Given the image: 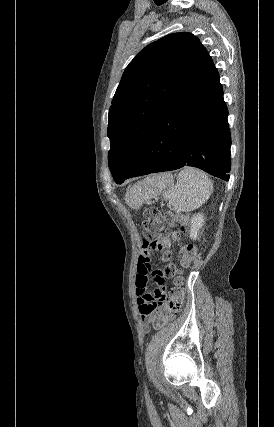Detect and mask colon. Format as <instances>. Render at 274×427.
<instances>
[{
  "instance_id": "1",
  "label": "colon",
  "mask_w": 274,
  "mask_h": 427,
  "mask_svg": "<svg viewBox=\"0 0 274 427\" xmlns=\"http://www.w3.org/2000/svg\"><path fill=\"white\" fill-rule=\"evenodd\" d=\"M164 221L172 225L175 221H179L177 216L167 214L162 217L161 212L157 208H148L144 213V220L142 222V236H158L159 240L167 241L168 248H171V243L178 240L177 233L170 232L165 226ZM197 247L194 242H187L180 250L178 261L180 262V274L170 290H168L169 299L165 306H160L157 311L151 312V321L153 329L156 332H161L168 327V322L165 318H172L174 312H180L183 302L186 298V288L184 280L181 275L183 266L189 264L197 257Z\"/></svg>"
}]
</instances>
